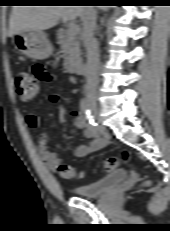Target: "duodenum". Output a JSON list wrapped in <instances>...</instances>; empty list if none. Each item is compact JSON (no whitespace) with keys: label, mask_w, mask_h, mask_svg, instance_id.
I'll use <instances>...</instances> for the list:
<instances>
[{"label":"duodenum","mask_w":170,"mask_h":231,"mask_svg":"<svg viewBox=\"0 0 170 231\" xmlns=\"http://www.w3.org/2000/svg\"><path fill=\"white\" fill-rule=\"evenodd\" d=\"M76 73L79 75H85L87 73V67L83 63H79L76 67Z\"/></svg>","instance_id":"1"}]
</instances>
